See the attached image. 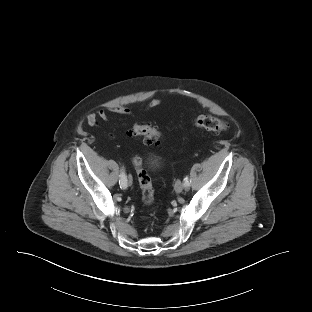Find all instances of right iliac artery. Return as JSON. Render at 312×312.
Returning a JSON list of instances; mask_svg holds the SVG:
<instances>
[{
	"label": "right iliac artery",
	"mask_w": 312,
	"mask_h": 312,
	"mask_svg": "<svg viewBox=\"0 0 312 312\" xmlns=\"http://www.w3.org/2000/svg\"><path fill=\"white\" fill-rule=\"evenodd\" d=\"M119 177H120L119 179L120 187L123 189L127 188V178L123 169L121 170Z\"/></svg>",
	"instance_id": "obj_1"
}]
</instances>
